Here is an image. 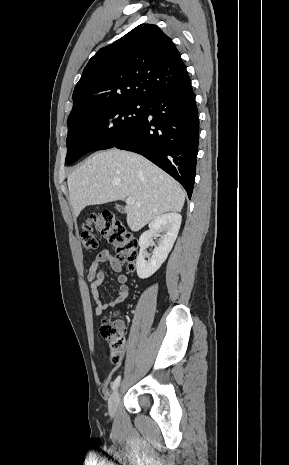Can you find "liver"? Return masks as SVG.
<instances>
[{
  "label": "liver",
  "mask_w": 289,
  "mask_h": 465,
  "mask_svg": "<svg viewBox=\"0 0 289 465\" xmlns=\"http://www.w3.org/2000/svg\"><path fill=\"white\" fill-rule=\"evenodd\" d=\"M75 217L89 205L132 197L127 224L139 231L158 215L180 212L185 201L182 187L141 155L112 148L90 156L67 180Z\"/></svg>",
  "instance_id": "obj_1"
}]
</instances>
